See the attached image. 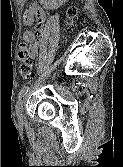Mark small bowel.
Returning <instances> with one entry per match:
<instances>
[{
	"label": "small bowel",
	"instance_id": "1",
	"mask_svg": "<svg viewBox=\"0 0 123 167\" xmlns=\"http://www.w3.org/2000/svg\"><path fill=\"white\" fill-rule=\"evenodd\" d=\"M44 18L43 10L36 3L32 4L30 10L24 14V22L27 25L36 23L35 31H25L22 36L23 41L28 44L29 58L38 59L40 57L41 43L45 37L43 30Z\"/></svg>",
	"mask_w": 123,
	"mask_h": 167
}]
</instances>
